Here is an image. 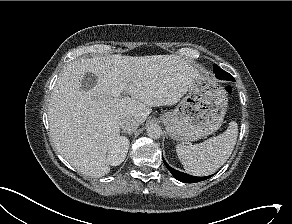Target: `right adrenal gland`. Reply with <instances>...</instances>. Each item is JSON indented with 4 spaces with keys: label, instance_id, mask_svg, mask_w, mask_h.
Wrapping results in <instances>:
<instances>
[{
    "label": "right adrenal gland",
    "instance_id": "2a0ac1e0",
    "mask_svg": "<svg viewBox=\"0 0 292 224\" xmlns=\"http://www.w3.org/2000/svg\"><path fill=\"white\" fill-rule=\"evenodd\" d=\"M122 134H128L129 136L132 135V132H128V131H121Z\"/></svg>",
    "mask_w": 292,
    "mask_h": 224
}]
</instances>
